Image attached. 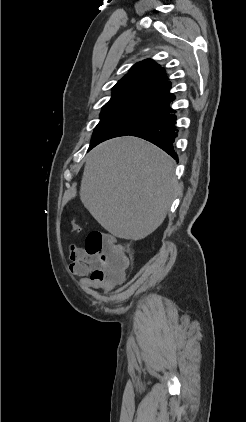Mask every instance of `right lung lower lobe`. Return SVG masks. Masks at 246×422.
<instances>
[{
    "label": "right lung lower lobe",
    "instance_id": "right-lung-lower-lobe-1",
    "mask_svg": "<svg viewBox=\"0 0 246 422\" xmlns=\"http://www.w3.org/2000/svg\"><path fill=\"white\" fill-rule=\"evenodd\" d=\"M173 113H175V110L168 105L162 110V115L158 119L139 128L129 135L150 141L163 149L171 157L177 159V154L173 149V142L177 136V130L175 127L176 116Z\"/></svg>",
    "mask_w": 246,
    "mask_h": 422
}]
</instances>
